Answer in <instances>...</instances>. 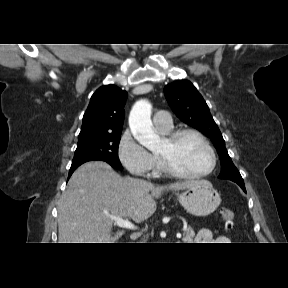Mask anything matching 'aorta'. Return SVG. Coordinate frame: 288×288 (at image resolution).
<instances>
[{"instance_id":"762f6f07","label":"aorta","mask_w":288,"mask_h":288,"mask_svg":"<svg viewBox=\"0 0 288 288\" xmlns=\"http://www.w3.org/2000/svg\"><path fill=\"white\" fill-rule=\"evenodd\" d=\"M151 104L139 100L129 115V126L134 138L149 150L156 149L160 144L159 136L154 132L151 121Z\"/></svg>"}]
</instances>
